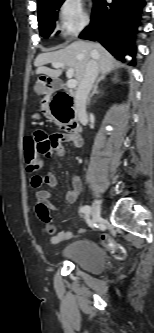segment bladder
Instances as JSON below:
<instances>
[{"mask_svg":"<svg viewBox=\"0 0 154 333\" xmlns=\"http://www.w3.org/2000/svg\"><path fill=\"white\" fill-rule=\"evenodd\" d=\"M62 257L64 260L92 274L101 273L106 263L103 249L99 244L92 241L72 243L63 252Z\"/></svg>","mask_w":154,"mask_h":333,"instance_id":"bladder-1","label":"bladder"}]
</instances>
